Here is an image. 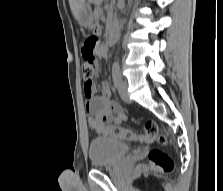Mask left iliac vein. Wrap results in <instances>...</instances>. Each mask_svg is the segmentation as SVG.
Listing matches in <instances>:
<instances>
[{
	"instance_id": "obj_1",
	"label": "left iliac vein",
	"mask_w": 223,
	"mask_h": 191,
	"mask_svg": "<svg viewBox=\"0 0 223 191\" xmlns=\"http://www.w3.org/2000/svg\"><path fill=\"white\" fill-rule=\"evenodd\" d=\"M118 88H119V95L122 98V100L125 101L126 103H130L131 100L129 98V93L127 90L128 88L127 82L124 80H120Z\"/></svg>"
}]
</instances>
